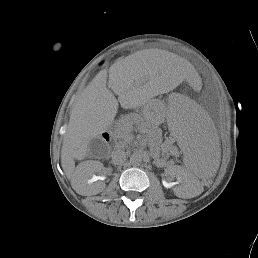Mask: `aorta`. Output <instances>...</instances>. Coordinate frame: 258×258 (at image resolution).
Returning a JSON list of instances; mask_svg holds the SVG:
<instances>
[{
    "instance_id": "762f6f07",
    "label": "aorta",
    "mask_w": 258,
    "mask_h": 258,
    "mask_svg": "<svg viewBox=\"0 0 258 258\" xmlns=\"http://www.w3.org/2000/svg\"><path fill=\"white\" fill-rule=\"evenodd\" d=\"M141 161H142V157L138 152L133 153L130 157V162L133 164H140Z\"/></svg>"
}]
</instances>
